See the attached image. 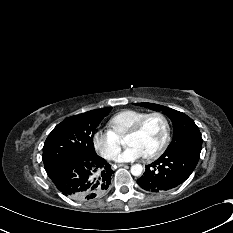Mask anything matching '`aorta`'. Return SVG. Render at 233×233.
Instances as JSON below:
<instances>
[{"label": "aorta", "mask_w": 233, "mask_h": 233, "mask_svg": "<svg viewBox=\"0 0 233 233\" xmlns=\"http://www.w3.org/2000/svg\"><path fill=\"white\" fill-rule=\"evenodd\" d=\"M143 167L140 164H135L131 166V174L134 176H140L142 174Z\"/></svg>", "instance_id": "1"}]
</instances>
